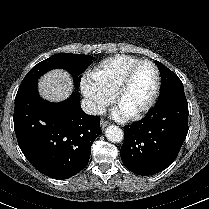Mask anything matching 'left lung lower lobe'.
<instances>
[{
    "label": "left lung lower lobe",
    "instance_id": "left-lung-lower-lobe-1",
    "mask_svg": "<svg viewBox=\"0 0 209 209\" xmlns=\"http://www.w3.org/2000/svg\"><path fill=\"white\" fill-rule=\"evenodd\" d=\"M188 115L184 90L160 96L142 120L124 127L120 155L126 168L147 176L169 166L186 139Z\"/></svg>",
    "mask_w": 209,
    "mask_h": 209
}]
</instances>
